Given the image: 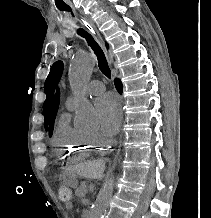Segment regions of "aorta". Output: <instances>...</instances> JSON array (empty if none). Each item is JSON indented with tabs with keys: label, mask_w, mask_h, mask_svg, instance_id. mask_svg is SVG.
Instances as JSON below:
<instances>
[{
	"label": "aorta",
	"mask_w": 211,
	"mask_h": 218,
	"mask_svg": "<svg viewBox=\"0 0 211 218\" xmlns=\"http://www.w3.org/2000/svg\"><path fill=\"white\" fill-rule=\"evenodd\" d=\"M94 66V56L91 54H83L73 58L69 70L71 87L76 94L80 95L76 106V126L83 131H94L99 126L97 113L89 100L82 95L83 88L90 80ZM114 182L115 176L112 174L106 185L99 192L90 210V218H103L114 190Z\"/></svg>",
	"instance_id": "762f6f07"
}]
</instances>
